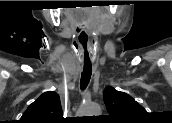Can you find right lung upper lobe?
Segmentation results:
<instances>
[{
  "label": "right lung upper lobe",
  "instance_id": "obj_1",
  "mask_svg": "<svg viewBox=\"0 0 172 123\" xmlns=\"http://www.w3.org/2000/svg\"><path fill=\"white\" fill-rule=\"evenodd\" d=\"M23 123H62V108L59 95L45 92L35 100L23 113Z\"/></svg>",
  "mask_w": 172,
  "mask_h": 123
}]
</instances>
